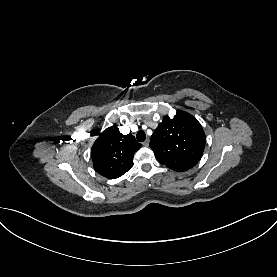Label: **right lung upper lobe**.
Here are the masks:
<instances>
[{
	"label": "right lung upper lobe",
	"mask_w": 277,
	"mask_h": 277,
	"mask_svg": "<svg viewBox=\"0 0 277 277\" xmlns=\"http://www.w3.org/2000/svg\"><path fill=\"white\" fill-rule=\"evenodd\" d=\"M140 147L133 135L123 136L113 125L103 131L92 146L93 166L106 178H118L132 168L134 154Z\"/></svg>",
	"instance_id": "1"
}]
</instances>
